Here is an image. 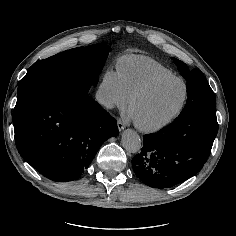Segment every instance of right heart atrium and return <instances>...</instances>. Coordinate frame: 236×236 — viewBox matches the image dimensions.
Returning a JSON list of instances; mask_svg holds the SVG:
<instances>
[{"label":"right heart atrium","instance_id":"right-heart-atrium-1","mask_svg":"<svg viewBox=\"0 0 236 236\" xmlns=\"http://www.w3.org/2000/svg\"><path fill=\"white\" fill-rule=\"evenodd\" d=\"M96 99L107 110L123 109L127 106L130 96L118 71L111 68L104 71L96 90Z\"/></svg>","mask_w":236,"mask_h":236}]
</instances>
